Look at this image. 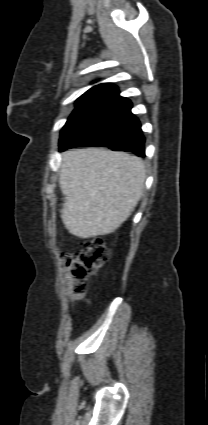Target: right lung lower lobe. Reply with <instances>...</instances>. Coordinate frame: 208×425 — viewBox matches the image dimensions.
Listing matches in <instances>:
<instances>
[{
    "label": "right lung lower lobe",
    "instance_id": "98d812e1",
    "mask_svg": "<svg viewBox=\"0 0 208 425\" xmlns=\"http://www.w3.org/2000/svg\"><path fill=\"white\" fill-rule=\"evenodd\" d=\"M132 103L111 85L76 111L61 131L59 149L105 146L145 157L141 124Z\"/></svg>",
    "mask_w": 208,
    "mask_h": 425
}]
</instances>
